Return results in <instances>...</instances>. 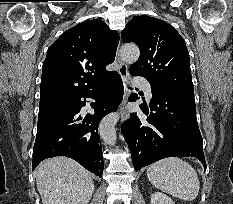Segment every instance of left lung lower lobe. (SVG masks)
I'll use <instances>...</instances> for the list:
<instances>
[{"mask_svg":"<svg viewBox=\"0 0 233 204\" xmlns=\"http://www.w3.org/2000/svg\"><path fill=\"white\" fill-rule=\"evenodd\" d=\"M151 91L152 112L141 104L145 116L132 113L122 125L135 170L173 156L196 157L206 169L194 95L152 88ZM137 99L135 93L129 97V101Z\"/></svg>","mask_w":233,"mask_h":204,"instance_id":"1","label":"left lung lower lobe"}]
</instances>
